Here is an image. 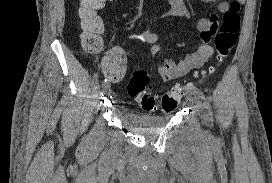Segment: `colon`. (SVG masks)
Here are the masks:
<instances>
[{
    "mask_svg": "<svg viewBox=\"0 0 272 183\" xmlns=\"http://www.w3.org/2000/svg\"><path fill=\"white\" fill-rule=\"evenodd\" d=\"M106 0H78V17L82 29V45L89 53L101 50L103 46V24L97 11L102 7ZM240 0H234L229 9L225 12L223 20L218 25V30L214 31V42L216 46V59H225L234 47L240 29ZM110 59L105 56L102 61ZM213 68L210 69V72ZM150 75L145 70L135 71L127 86L128 94L134 98L138 104L147 111L155 108L156 97L149 89ZM183 89L180 86L172 87L161 99V108L165 112L176 108Z\"/></svg>",
    "mask_w": 272,
    "mask_h": 183,
    "instance_id": "5ec220e1",
    "label": "colon"
}]
</instances>
